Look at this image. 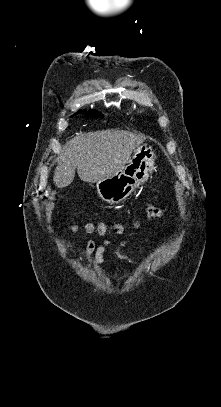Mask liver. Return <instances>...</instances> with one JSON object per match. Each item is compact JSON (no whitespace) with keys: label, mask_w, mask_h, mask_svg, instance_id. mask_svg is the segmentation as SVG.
Here are the masks:
<instances>
[{"label":"liver","mask_w":221,"mask_h":407,"mask_svg":"<svg viewBox=\"0 0 221 407\" xmlns=\"http://www.w3.org/2000/svg\"><path fill=\"white\" fill-rule=\"evenodd\" d=\"M145 139L142 133L123 130L79 133L63 146L53 181L58 188L70 185L76 168L84 182L95 183L110 177Z\"/></svg>","instance_id":"obj_1"}]
</instances>
